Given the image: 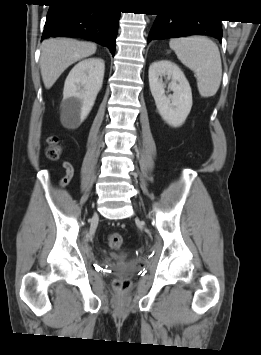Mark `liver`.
Segmentation results:
<instances>
[{"label": "liver", "mask_w": 261, "mask_h": 355, "mask_svg": "<svg viewBox=\"0 0 261 355\" xmlns=\"http://www.w3.org/2000/svg\"><path fill=\"white\" fill-rule=\"evenodd\" d=\"M96 49L94 43L74 39L57 38L43 41L40 69L46 89H50L70 65L93 55Z\"/></svg>", "instance_id": "6515ba94"}]
</instances>
